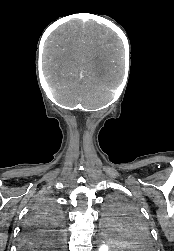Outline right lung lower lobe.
Segmentation results:
<instances>
[{
	"label": "right lung lower lobe",
	"mask_w": 174,
	"mask_h": 251,
	"mask_svg": "<svg viewBox=\"0 0 174 251\" xmlns=\"http://www.w3.org/2000/svg\"><path fill=\"white\" fill-rule=\"evenodd\" d=\"M34 233H36V230H35L34 226L27 224L24 227L23 233H22V236H21V241H20V248H21L22 243H24L27 239L32 237ZM21 250H23V249L21 248ZM23 251H34V250H23Z\"/></svg>",
	"instance_id": "obj_1"
}]
</instances>
